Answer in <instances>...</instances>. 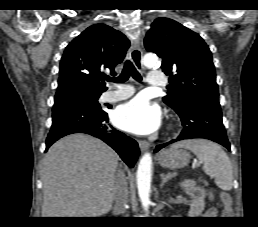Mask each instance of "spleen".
Segmentation results:
<instances>
[{
  "label": "spleen",
  "mask_w": 258,
  "mask_h": 227,
  "mask_svg": "<svg viewBox=\"0 0 258 227\" xmlns=\"http://www.w3.org/2000/svg\"><path fill=\"white\" fill-rule=\"evenodd\" d=\"M171 148H186L204 164V172L213 177L216 185L230 191L233 185V168L226 152L216 143L205 139H188L177 142Z\"/></svg>",
  "instance_id": "obj_1"
}]
</instances>
